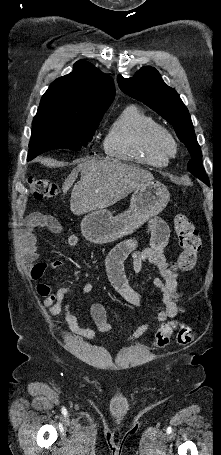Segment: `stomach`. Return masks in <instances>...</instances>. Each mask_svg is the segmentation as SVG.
I'll list each match as a JSON object with an SVG mask.
<instances>
[{"instance_id": "stomach-1", "label": "stomach", "mask_w": 221, "mask_h": 455, "mask_svg": "<svg viewBox=\"0 0 221 455\" xmlns=\"http://www.w3.org/2000/svg\"><path fill=\"white\" fill-rule=\"evenodd\" d=\"M170 193L158 181H148L136 188L129 208L113 216L107 209L88 212L81 221L83 236L91 243L105 244L131 235L168 204Z\"/></svg>"}]
</instances>
